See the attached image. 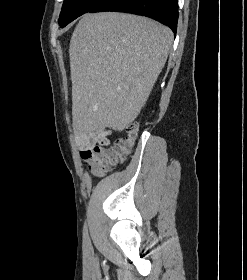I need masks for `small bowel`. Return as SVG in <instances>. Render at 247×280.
<instances>
[{
	"label": "small bowel",
	"instance_id": "obj_1",
	"mask_svg": "<svg viewBox=\"0 0 247 280\" xmlns=\"http://www.w3.org/2000/svg\"><path fill=\"white\" fill-rule=\"evenodd\" d=\"M113 131L106 127H100L94 130L85 128L76 129V143L84 157L90 153L96 146H106L109 144V137Z\"/></svg>",
	"mask_w": 247,
	"mask_h": 280
}]
</instances>
